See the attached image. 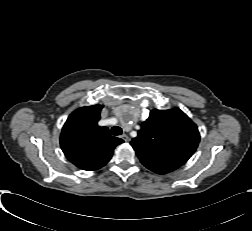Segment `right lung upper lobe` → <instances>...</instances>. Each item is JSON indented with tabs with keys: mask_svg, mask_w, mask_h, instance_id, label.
<instances>
[{
	"mask_svg": "<svg viewBox=\"0 0 252 231\" xmlns=\"http://www.w3.org/2000/svg\"><path fill=\"white\" fill-rule=\"evenodd\" d=\"M102 105L81 107L65 122L60 145L69 161L78 168L93 171L103 167L123 140L110 135L107 127L98 126Z\"/></svg>",
	"mask_w": 252,
	"mask_h": 231,
	"instance_id": "1",
	"label": "right lung upper lobe"
}]
</instances>
